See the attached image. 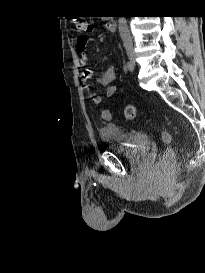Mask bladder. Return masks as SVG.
Segmentation results:
<instances>
[{"mask_svg": "<svg viewBox=\"0 0 205 273\" xmlns=\"http://www.w3.org/2000/svg\"><path fill=\"white\" fill-rule=\"evenodd\" d=\"M99 135L113 153L126 159L137 160L145 156L150 149V138L143 131H124L115 124H103Z\"/></svg>", "mask_w": 205, "mask_h": 273, "instance_id": "bladder-1", "label": "bladder"}]
</instances>
